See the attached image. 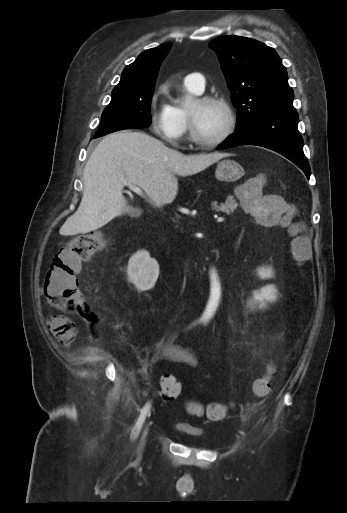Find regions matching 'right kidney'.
I'll return each instance as SVG.
<instances>
[{
    "instance_id": "right-kidney-1",
    "label": "right kidney",
    "mask_w": 347,
    "mask_h": 513,
    "mask_svg": "<svg viewBox=\"0 0 347 513\" xmlns=\"http://www.w3.org/2000/svg\"><path fill=\"white\" fill-rule=\"evenodd\" d=\"M127 275L138 290L146 291L154 287L159 275V265L147 251L142 250L130 258Z\"/></svg>"
}]
</instances>
